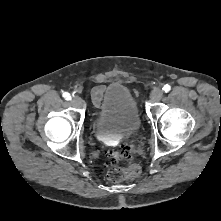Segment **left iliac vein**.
Wrapping results in <instances>:
<instances>
[{
	"instance_id": "obj_1",
	"label": "left iliac vein",
	"mask_w": 221,
	"mask_h": 221,
	"mask_svg": "<svg viewBox=\"0 0 221 221\" xmlns=\"http://www.w3.org/2000/svg\"><path fill=\"white\" fill-rule=\"evenodd\" d=\"M162 97H163V91L160 88H155L151 92L150 98L153 102L159 101Z\"/></svg>"
}]
</instances>
